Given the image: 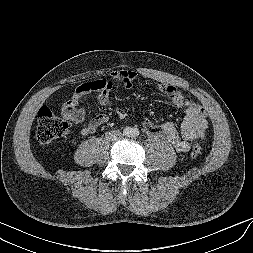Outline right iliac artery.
Here are the masks:
<instances>
[{"label":"right iliac artery","mask_w":253,"mask_h":253,"mask_svg":"<svg viewBox=\"0 0 253 253\" xmlns=\"http://www.w3.org/2000/svg\"><path fill=\"white\" fill-rule=\"evenodd\" d=\"M123 133H124V135L129 136L131 134V129L130 128H126V129H124Z\"/></svg>","instance_id":"82829eb1"}]
</instances>
